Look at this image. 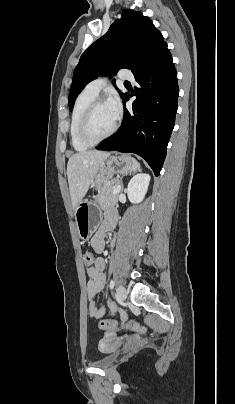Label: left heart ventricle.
Returning a JSON list of instances; mask_svg holds the SVG:
<instances>
[{
	"mask_svg": "<svg viewBox=\"0 0 235 404\" xmlns=\"http://www.w3.org/2000/svg\"><path fill=\"white\" fill-rule=\"evenodd\" d=\"M116 117L112 114L106 103L100 104L92 117L90 133L94 138L106 134L113 126Z\"/></svg>",
	"mask_w": 235,
	"mask_h": 404,
	"instance_id": "b2bd125f",
	"label": "left heart ventricle"
}]
</instances>
